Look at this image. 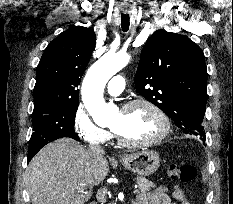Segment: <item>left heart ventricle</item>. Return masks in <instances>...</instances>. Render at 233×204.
<instances>
[{"instance_id":"1","label":"left heart ventricle","mask_w":233,"mask_h":204,"mask_svg":"<svg viewBox=\"0 0 233 204\" xmlns=\"http://www.w3.org/2000/svg\"><path fill=\"white\" fill-rule=\"evenodd\" d=\"M110 127L130 141H146L160 133L162 123L149 108L137 106L127 111L119 110Z\"/></svg>"}]
</instances>
